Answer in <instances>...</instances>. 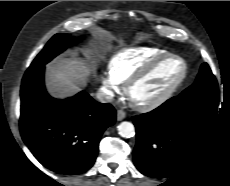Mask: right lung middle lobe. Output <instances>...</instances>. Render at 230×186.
I'll use <instances>...</instances> for the list:
<instances>
[{
  "instance_id": "dd1d6c3e",
  "label": "right lung middle lobe",
  "mask_w": 230,
  "mask_h": 186,
  "mask_svg": "<svg viewBox=\"0 0 230 186\" xmlns=\"http://www.w3.org/2000/svg\"><path fill=\"white\" fill-rule=\"evenodd\" d=\"M79 41V39L70 37L68 34L59 33L54 35L44 49L36 56L28 69L45 66L55 56L63 52L66 48L77 44Z\"/></svg>"
}]
</instances>
